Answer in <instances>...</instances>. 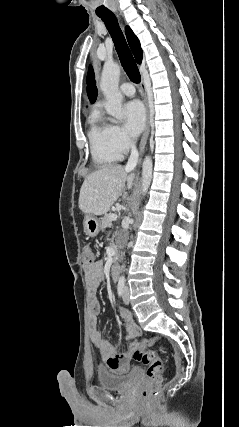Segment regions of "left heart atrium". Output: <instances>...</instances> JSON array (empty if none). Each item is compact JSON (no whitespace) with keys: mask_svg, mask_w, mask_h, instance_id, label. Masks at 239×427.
Masks as SVG:
<instances>
[{"mask_svg":"<svg viewBox=\"0 0 239 427\" xmlns=\"http://www.w3.org/2000/svg\"><path fill=\"white\" fill-rule=\"evenodd\" d=\"M125 128L131 136H137L145 125V111L142 104L137 101H131L124 107Z\"/></svg>","mask_w":239,"mask_h":427,"instance_id":"obj_1","label":"left heart atrium"}]
</instances>
